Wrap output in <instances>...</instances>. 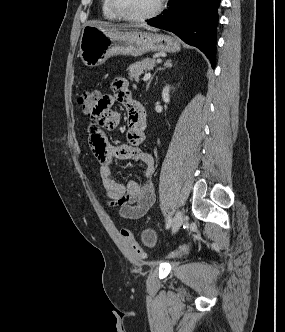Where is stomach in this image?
Wrapping results in <instances>:
<instances>
[{"instance_id": "stomach-1", "label": "stomach", "mask_w": 285, "mask_h": 332, "mask_svg": "<svg viewBox=\"0 0 285 332\" xmlns=\"http://www.w3.org/2000/svg\"><path fill=\"white\" fill-rule=\"evenodd\" d=\"M179 50V42L169 35L114 31L95 24L84 27L79 43V56L88 67L99 66L115 55L140 56L147 52Z\"/></svg>"}]
</instances>
